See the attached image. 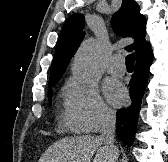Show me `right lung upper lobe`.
<instances>
[{
	"mask_svg": "<svg viewBox=\"0 0 168 162\" xmlns=\"http://www.w3.org/2000/svg\"><path fill=\"white\" fill-rule=\"evenodd\" d=\"M84 16L73 14L67 18L61 30L51 65L49 84L58 82L84 37ZM112 26L118 35L133 37L134 43L126 49L134 50L136 59L151 52L145 41V16L140 14L138 4L134 0H123L122 6L112 17Z\"/></svg>",
	"mask_w": 168,
	"mask_h": 162,
	"instance_id": "cb5924a9",
	"label": "right lung upper lobe"
}]
</instances>
